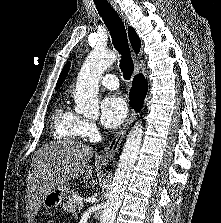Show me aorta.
<instances>
[{
	"label": "aorta",
	"mask_w": 221,
	"mask_h": 223,
	"mask_svg": "<svg viewBox=\"0 0 221 223\" xmlns=\"http://www.w3.org/2000/svg\"><path fill=\"white\" fill-rule=\"evenodd\" d=\"M117 59L110 50L94 49L86 58L78 75L74 92L75 110L88 117L99 114V80L104 71ZM143 126L137 122L129 133L120 156L100 223H114L123 200L131 172L142 143Z\"/></svg>",
	"instance_id": "aorta-1"
}]
</instances>
